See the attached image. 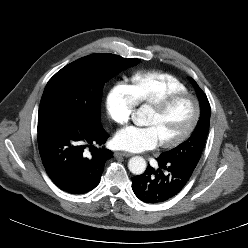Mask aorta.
Here are the masks:
<instances>
[{
    "label": "aorta",
    "instance_id": "obj_1",
    "mask_svg": "<svg viewBox=\"0 0 248 248\" xmlns=\"http://www.w3.org/2000/svg\"><path fill=\"white\" fill-rule=\"evenodd\" d=\"M139 114V112L137 113ZM146 161L141 156L132 157L128 162V168L131 173L135 175H141L146 170Z\"/></svg>",
    "mask_w": 248,
    "mask_h": 248
}]
</instances>
